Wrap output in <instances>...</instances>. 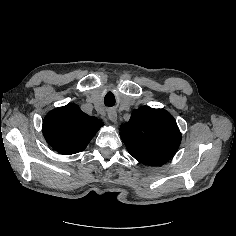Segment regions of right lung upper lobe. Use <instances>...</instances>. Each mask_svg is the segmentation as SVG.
Masks as SVG:
<instances>
[{"mask_svg":"<svg viewBox=\"0 0 236 236\" xmlns=\"http://www.w3.org/2000/svg\"><path fill=\"white\" fill-rule=\"evenodd\" d=\"M103 125L102 121L87 115L78 105L71 103L45 116L43 134L55 151L69 155L83 151Z\"/></svg>","mask_w":236,"mask_h":236,"instance_id":"right-lung-upper-lobe-1","label":"right lung upper lobe"}]
</instances>
